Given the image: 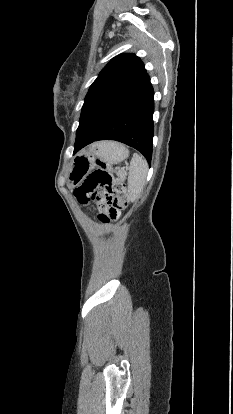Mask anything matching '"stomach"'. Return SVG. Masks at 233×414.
<instances>
[{
	"label": "stomach",
	"mask_w": 233,
	"mask_h": 414,
	"mask_svg": "<svg viewBox=\"0 0 233 414\" xmlns=\"http://www.w3.org/2000/svg\"><path fill=\"white\" fill-rule=\"evenodd\" d=\"M129 155L128 150L121 144L104 141L94 145L89 152L77 154L71 163L69 185L79 184L94 168L96 159L109 164H117Z\"/></svg>",
	"instance_id": "stomach-1"
}]
</instances>
